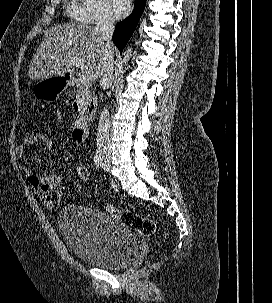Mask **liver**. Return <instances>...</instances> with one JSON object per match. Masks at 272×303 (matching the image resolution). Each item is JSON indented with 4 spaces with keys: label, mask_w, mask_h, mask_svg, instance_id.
<instances>
[{
    "label": "liver",
    "mask_w": 272,
    "mask_h": 303,
    "mask_svg": "<svg viewBox=\"0 0 272 303\" xmlns=\"http://www.w3.org/2000/svg\"><path fill=\"white\" fill-rule=\"evenodd\" d=\"M114 57L115 47L111 46ZM105 45L96 27L85 24L56 25L45 34L31 61L29 77L41 80L63 77L74 66L95 81L106 61ZM77 59L74 64L70 60Z\"/></svg>",
    "instance_id": "6515ba94"
}]
</instances>
